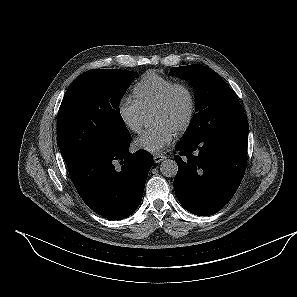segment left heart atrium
Here are the masks:
<instances>
[{"mask_svg":"<svg viewBox=\"0 0 297 297\" xmlns=\"http://www.w3.org/2000/svg\"><path fill=\"white\" fill-rule=\"evenodd\" d=\"M175 131L166 123H158L144 130L134 141L136 148L150 153H160L175 139Z\"/></svg>","mask_w":297,"mask_h":297,"instance_id":"39dd6f15","label":"left heart atrium"}]
</instances>
